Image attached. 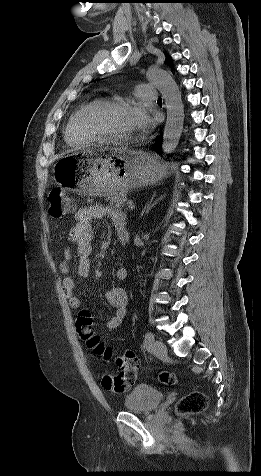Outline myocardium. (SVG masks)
<instances>
[{
    "mask_svg": "<svg viewBox=\"0 0 261 476\" xmlns=\"http://www.w3.org/2000/svg\"><path fill=\"white\" fill-rule=\"evenodd\" d=\"M133 105L132 102L122 99H100L95 100L82 108L79 112L76 125L80 135L93 142H125L130 135L120 136L111 132L91 127L88 124L89 117L99 111H107L118 108H127Z\"/></svg>",
    "mask_w": 261,
    "mask_h": 476,
    "instance_id": "1",
    "label": "myocardium"
}]
</instances>
